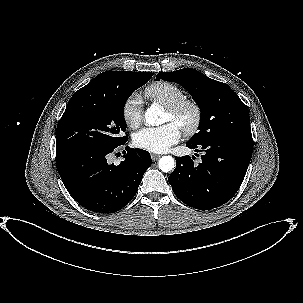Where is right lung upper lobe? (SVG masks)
<instances>
[{"label":"right lung upper lobe","mask_w":303,"mask_h":303,"mask_svg":"<svg viewBox=\"0 0 303 303\" xmlns=\"http://www.w3.org/2000/svg\"><path fill=\"white\" fill-rule=\"evenodd\" d=\"M139 74L141 73L129 71H106L97 75L89 84L84 86V88H99L118 84L125 79ZM150 74L152 76V73Z\"/></svg>","instance_id":"cb5924a9"}]
</instances>
